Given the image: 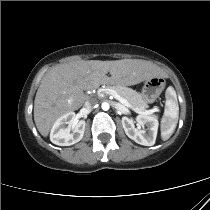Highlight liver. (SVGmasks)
<instances>
[{"mask_svg":"<svg viewBox=\"0 0 210 210\" xmlns=\"http://www.w3.org/2000/svg\"><path fill=\"white\" fill-rule=\"evenodd\" d=\"M161 73L157 66L141 59L78 60L55 66L43 77L35 96L36 127L42 136H48L58 118L83 105L85 90L101 84L131 86Z\"/></svg>","mask_w":210,"mask_h":210,"instance_id":"1","label":"liver"}]
</instances>
